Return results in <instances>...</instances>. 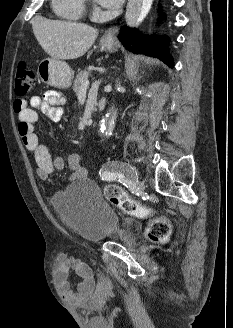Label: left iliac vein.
I'll list each match as a JSON object with an SVG mask.
<instances>
[{
	"label": "left iliac vein",
	"mask_w": 233,
	"mask_h": 328,
	"mask_svg": "<svg viewBox=\"0 0 233 328\" xmlns=\"http://www.w3.org/2000/svg\"><path fill=\"white\" fill-rule=\"evenodd\" d=\"M121 170L132 186L136 187L140 192L144 191V184L142 181L139 180L136 171L132 167L128 165H123Z\"/></svg>",
	"instance_id": "obj_1"
}]
</instances>
